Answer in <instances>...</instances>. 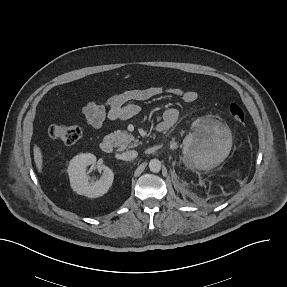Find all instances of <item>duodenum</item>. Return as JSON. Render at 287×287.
<instances>
[{
	"mask_svg": "<svg viewBox=\"0 0 287 287\" xmlns=\"http://www.w3.org/2000/svg\"><path fill=\"white\" fill-rule=\"evenodd\" d=\"M158 132H163L164 129L162 126L157 128ZM100 148L102 152L104 153H111L114 149V141L111 137H105L101 143H100Z\"/></svg>",
	"mask_w": 287,
	"mask_h": 287,
	"instance_id": "obj_1",
	"label": "duodenum"
}]
</instances>
